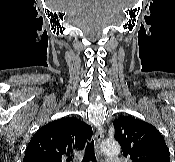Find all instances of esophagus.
I'll return each mask as SVG.
<instances>
[{
  "mask_svg": "<svg viewBox=\"0 0 175 162\" xmlns=\"http://www.w3.org/2000/svg\"><path fill=\"white\" fill-rule=\"evenodd\" d=\"M104 137V129L102 127H99L95 133V141H96V149H97V154L99 157H102V152L100 150V145H101V141Z\"/></svg>",
  "mask_w": 175,
  "mask_h": 162,
  "instance_id": "34e87169",
  "label": "esophagus"
}]
</instances>
